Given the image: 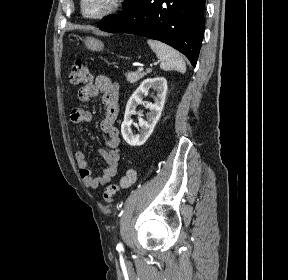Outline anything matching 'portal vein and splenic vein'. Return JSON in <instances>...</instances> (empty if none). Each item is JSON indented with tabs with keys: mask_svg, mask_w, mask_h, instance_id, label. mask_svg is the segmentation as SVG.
Instances as JSON below:
<instances>
[{
	"mask_svg": "<svg viewBox=\"0 0 288 280\" xmlns=\"http://www.w3.org/2000/svg\"><path fill=\"white\" fill-rule=\"evenodd\" d=\"M138 71H139V72L143 71V67H139V68H138Z\"/></svg>",
	"mask_w": 288,
	"mask_h": 280,
	"instance_id": "portal-vein-and-splenic-vein-1",
	"label": "portal vein and splenic vein"
}]
</instances>
